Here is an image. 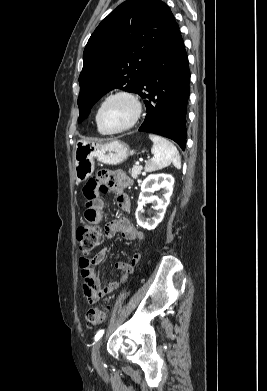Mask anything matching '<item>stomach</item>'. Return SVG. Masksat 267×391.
Instances as JSON below:
<instances>
[{
	"instance_id": "obj_1",
	"label": "stomach",
	"mask_w": 267,
	"mask_h": 391,
	"mask_svg": "<svg viewBox=\"0 0 267 391\" xmlns=\"http://www.w3.org/2000/svg\"><path fill=\"white\" fill-rule=\"evenodd\" d=\"M133 152L120 140L106 142L79 140L73 154L75 180L84 182L94 172L95 159L106 165H119L126 161Z\"/></svg>"
}]
</instances>
